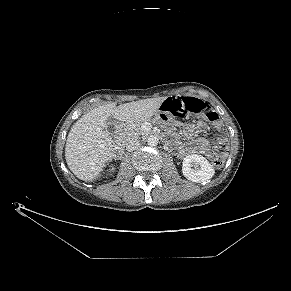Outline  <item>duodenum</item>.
Returning a JSON list of instances; mask_svg holds the SVG:
<instances>
[{
    "label": "duodenum",
    "instance_id": "duodenum-1",
    "mask_svg": "<svg viewBox=\"0 0 291 291\" xmlns=\"http://www.w3.org/2000/svg\"><path fill=\"white\" fill-rule=\"evenodd\" d=\"M123 151H124V142L122 140H119L115 145V151H114L115 158L117 159L121 158Z\"/></svg>",
    "mask_w": 291,
    "mask_h": 291
}]
</instances>
